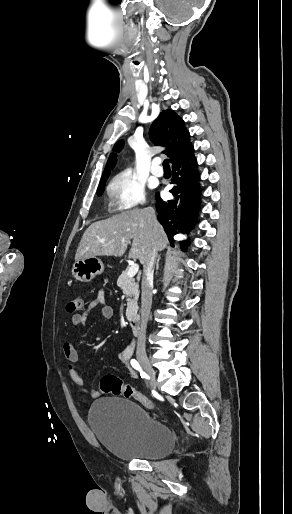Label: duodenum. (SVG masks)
I'll return each instance as SVG.
<instances>
[{
	"label": "duodenum",
	"instance_id": "duodenum-1",
	"mask_svg": "<svg viewBox=\"0 0 292 514\" xmlns=\"http://www.w3.org/2000/svg\"><path fill=\"white\" fill-rule=\"evenodd\" d=\"M129 326L133 334H137L140 327V319L138 316H132L129 321Z\"/></svg>",
	"mask_w": 292,
	"mask_h": 514
}]
</instances>
